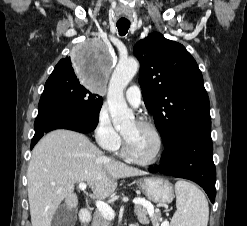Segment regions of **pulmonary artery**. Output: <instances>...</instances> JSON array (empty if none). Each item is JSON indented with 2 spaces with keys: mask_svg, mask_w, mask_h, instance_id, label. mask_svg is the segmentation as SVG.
Listing matches in <instances>:
<instances>
[{
  "mask_svg": "<svg viewBox=\"0 0 247 226\" xmlns=\"http://www.w3.org/2000/svg\"><path fill=\"white\" fill-rule=\"evenodd\" d=\"M125 97L133 107H138L141 104V91L137 85L130 86L125 92Z\"/></svg>",
  "mask_w": 247,
  "mask_h": 226,
  "instance_id": "1",
  "label": "pulmonary artery"
}]
</instances>
